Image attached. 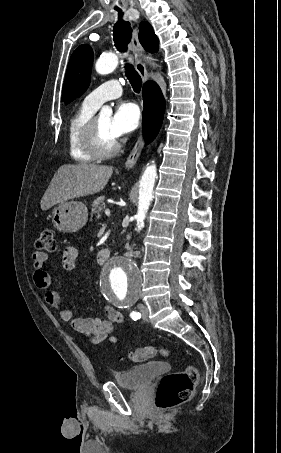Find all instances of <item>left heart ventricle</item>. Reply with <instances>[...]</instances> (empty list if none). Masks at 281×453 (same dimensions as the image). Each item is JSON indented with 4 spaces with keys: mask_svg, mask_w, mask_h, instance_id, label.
I'll list each match as a JSON object with an SVG mask.
<instances>
[{
    "mask_svg": "<svg viewBox=\"0 0 281 453\" xmlns=\"http://www.w3.org/2000/svg\"><path fill=\"white\" fill-rule=\"evenodd\" d=\"M98 123L102 135L103 144L105 147H109L116 139L110 131L111 116H99Z\"/></svg>",
    "mask_w": 281,
    "mask_h": 453,
    "instance_id": "b2bd125f",
    "label": "left heart ventricle"
}]
</instances>
